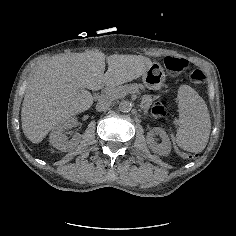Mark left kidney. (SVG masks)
Here are the masks:
<instances>
[{
    "instance_id": "5707ae66",
    "label": "left kidney",
    "mask_w": 236,
    "mask_h": 236,
    "mask_svg": "<svg viewBox=\"0 0 236 236\" xmlns=\"http://www.w3.org/2000/svg\"><path fill=\"white\" fill-rule=\"evenodd\" d=\"M155 133H158L161 136L162 141L160 144L155 143L153 139ZM146 143L149 149L155 154L168 156L171 153V142L167 133L162 128L156 127L152 131L148 132Z\"/></svg>"
}]
</instances>
